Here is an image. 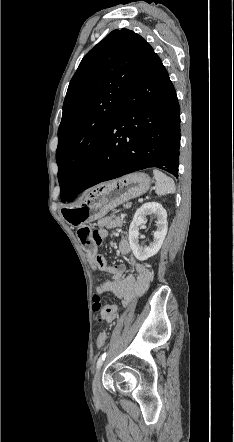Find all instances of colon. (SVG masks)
<instances>
[{
  "instance_id": "1",
  "label": "colon",
  "mask_w": 234,
  "mask_h": 442,
  "mask_svg": "<svg viewBox=\"0 0 234 442\" xmlns=\"http://www.w3.org/2000/svg\"><path fill=\"white\" fill-rule=\"evenodd\" d=\"M78 237L80 239V242L86 252L89 254H95L97 247L101 244V239L97 233V231L92 230L88 226H83L78 229ZM97 269L96 267H94ZM98 270V269H97ZM101 308L100 299L98 296L94 297V304L93 309L94 311H99ZM105 335L100 334L97 339V347L98 350H101V347H103L105 343Z\"/></svg>"
}]
</instances>
